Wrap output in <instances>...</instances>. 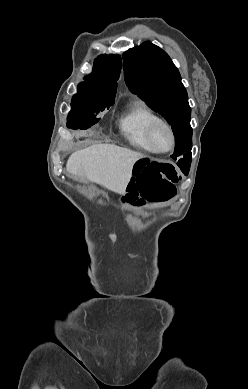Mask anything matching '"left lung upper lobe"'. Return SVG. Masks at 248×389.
Wrapping results in <instances>:
<instances>
[{
  "mask_svg": "<svg viewBox=\"0 0 248 389\" xmlns=\"http://www.w3.org/2000/svg\"><path fill=\"white\" fill-rule=\"evenodd\" d=\"M125 81L130 91L160 113L175 136L172 158L191 153V108L178 69L168 54L147 41L123 54Z\"/></svg>",
  "mask_w": 248,
  "mask_h": 389,
  "instance_id": "5c2ea615",
  "label": "left lung upper lobe"
}]
</instances>
